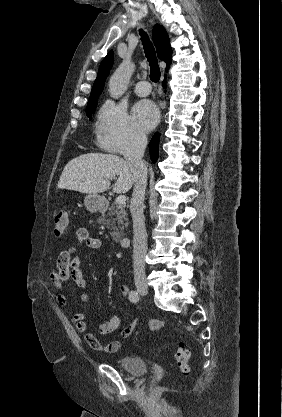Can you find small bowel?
Instances as JSON below:
<instances>
[{"label": "small bowel", "instance_id": "small-bowel-1", "mask_svg": "<svg viewBox=\"0 0 282 417\" xmlns=\"http://www.w3.org/2000/svg\"><path fill=\"white\" fill-rule=\"evenodd\" d=\"M76 236L80 245L90 250L101 251V241L91 236L85 227H79ZM81 263V254L73 250L62 251L57 257L55 268L50 274V279L55 289V300L61 307L67 306V296L63 291V284L67 280L72 279L79 288H83L86 285ZM118 289L126 297L131 290L130 285L126 282L120 283ZM81 299L85 301L87 299L86 295L82 294ZM85 316L84 312H77L73 315L72 320L76 330L83 335L84 341L90 348L106 354L117 352L122 345V339L128 338L134 332L138 323V319L134 318L129 325L122 329L120 334L121 339L102 342L88 331ZM95 317H98V315H95ZM119 323L118 316L110 315L107 320L98 326V332L101 335L110 334L118 328Z\"/></svg>", "mask_w": 282, "mask_h": 417}]
</instances>
